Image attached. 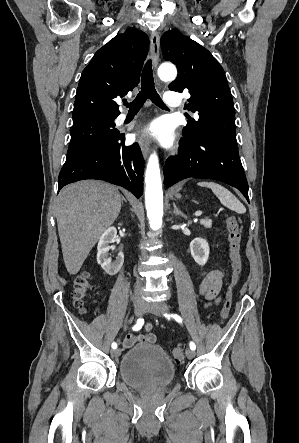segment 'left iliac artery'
I'll use <instances>...</instances> for the list:
<instances>
[{"label": "left iliac artery", "mask_w": 299, "mask_h": 443, "mask_svg": "<svg viewBox=\"0 0 299 443\" xmlns=\"http://www.w3.org/2000/svg\"><path fill=\"white\" fill-rule=\"evenodd\" d=\"M164 316H165L166 318H173V319L176 320L178 323H182V318H181L179 315H177V314H167V313H165ZM189 346H190V349H192V350H195V349H196V345H195V343L192 342V341L190 342Z\"/></svg>", "instance_id": "44dca946"}]
</instances>
